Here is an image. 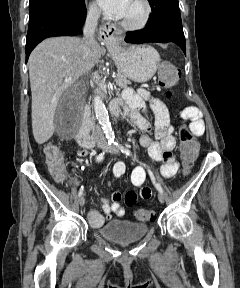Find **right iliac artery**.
<instances>
[{"label":"right iliac artery","mask_w":240,"mask_h":288,"mask_svg":"<svg viewBox=\"0 0 240 288\" xmlns=\"http://www.w3.org/2000/svg\"><path fill=\"white\" fill-rule=\"evenodd\" d=\"M109 144H111V141L109 142ZM104 155H105L104 152H103V153H100L98 156H96V161H97V162L102 161V160L104 159ZM82 168L84 169V167H82ZM83 190H84V187L81 186V188H80V190H79V192H78V196H79V197L82 196Z\"/></svg>","instance_id":"82829eb1"}]
</instances>
